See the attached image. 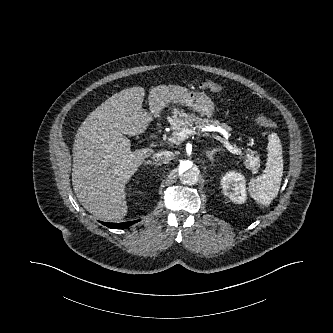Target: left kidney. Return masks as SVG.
I'll return each instance as SVG.
<instances>
[{"label":"left kidney","mask_w":333,"mask_h":333,"mask_svg":"<svg viewBox=\"0 0 333 333\" xmlns=\"http://www.w3.org/2000/svg\"><path fill=\"white\" fill-rule=\"evenodd\" d=\"M223 193L237 204H243L247 200L245 178L241 173L231 171L226 173L221 180Z\"/></svg>","instance_id":"left-kidney-1"}]
</instances>
